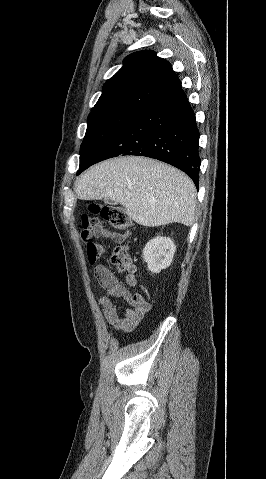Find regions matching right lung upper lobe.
Wrapping results in <instances>:
<instances>
[{
	"label": "right lung upper lobe",
	"instance_id": "obj_1",
	"mask_svg": "<svg viewBox=\"0 0 266 479\" xmlns=\"http://www.w3.org/2000/svg\"><path fill=\"white\" fill-rule=\"evenodd\" d=\"M181 82L165 59L152 50L130 54L124 66L103 86L89 116L117 110L140 111Z\"/></svg>",
	"mask_w": 266,
	"mask_h": 479
}]
</instances>
